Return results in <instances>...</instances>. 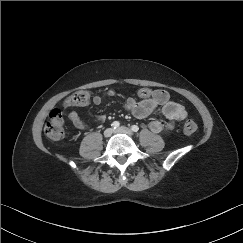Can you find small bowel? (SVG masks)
I'll return each instance as SVG.
<instances>
[{"label":"small bowel","instance_id":"obj_1","mask_svg":"<svg viewBox=\"0 0 243 243\" xmlns=\"http://www.w3.org/2000/svg\"><path fill=\"white\" fill-rule=\"evenodd\" d=\"M114 92L112 90L107 92L108 96H112ZM141 98L139 101L134 98H128L125 102V108L129 111L134 117L138 119H144L152 114L155 109L161 107L164 116L168 119L167 123H162L159 120H152L149 124L150 129L159 133L164 130L170 131L174 129L175 122H181L187 117V110L185 107L177 102L170 100V95L166 90L157 89L151 91L148 88H141L138 93ZM103 97L96 95L93 97V103L95 105L101 104ZM70 120L74 127L79 130H86L87 125L82 120L77 111L72 110L70 112ZM106 116L100 114L97 116L98 122H104Z\"/></svg>","mask_w":243,"mask_h":243}]
</instances>
